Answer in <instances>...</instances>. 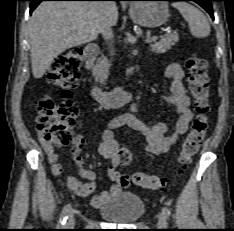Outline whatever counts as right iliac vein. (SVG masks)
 I'll use <instances>...</instances> for the list:
<instances>
[{
	"instance_id": "right-iliac-vein-1",
	"label": "right iliac vein",
	"mask_w": 234,
	"mask_h": 231,
	"mask_svg": "<svg viewBox=\"0 0 234 231\" xmlns=\"http://www.w3.org/2000/svg\"><path fill=\"white\" fill-rule=\"evenodd\" d=\"M74 225H75V217H74L73 213H70L69 216H68V218H67L65 227L66 228H73Z\"/></svg>"
}]
</instances>
